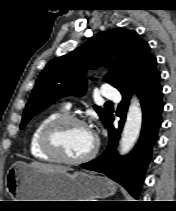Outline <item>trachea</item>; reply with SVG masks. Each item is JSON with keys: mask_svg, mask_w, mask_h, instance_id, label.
Returning a JSON list of instances; mask_svg holds the SVG:
<instances>
[{"mask_svg": "<svg viewBox=\"0 0 176 211\" xmlns=\"http://www.w3.org/2000/svg\"><path fill=\"white\" fill-rule=\"evenodd\" d=\"M107 104H112V102H110V101H108V102H106Z\"/></svg>", "mask_w": 176, "mask_h": 211, "instance_id": "trachea-1", "label": "trachea"}]
</instances>
